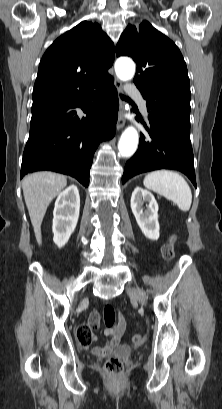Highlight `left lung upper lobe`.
Segmentation results:
<instances>
[{
	"label": "left lung upper lobe",
	"instance_id": "left-lung-upper-lobe-1",
	"mask_svg": "<svg viewBox=\"0 0 222 409\" xmlns=\"http://www.w3.org/2000/svg\"><path fill=\"white\" fill-rule=\"evenodd\" d=\"M116 55L137 64L134 83L147 107L179 101L190 112V81L178 47L149 22L128 25L116 45Z\"/></svg>",
	"mask_w": 222,
	"mask_h": 409
}]
</instances>
